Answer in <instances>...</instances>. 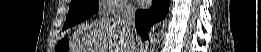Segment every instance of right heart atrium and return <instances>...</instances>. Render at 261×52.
<instances>
[{"mask_svg": "<svg viewBox=\"0 0 261 52\" xmlns=\"http://www.w3.org/2000/svg\"><path fill=\"white\" fill-rule=\"evenodd\" d=\"M102 14L107 17L127 16L131 13V6L126 0H103Z\"/></svg>", "mask_w": 261, "mask_h": 52, "instance_id": "d8ad5b80", "label": "right heart atrium"}]
</instances>
